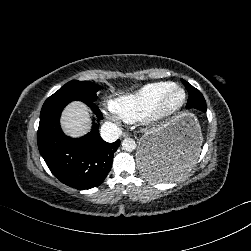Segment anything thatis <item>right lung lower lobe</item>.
I'll return each mask as SVG.
<instances>
[{"label": "right lung lower lobe", "instance_id": "1", "mask_svg": "<svg viewBox=\"0 0 251 251\" xmlns=\"http://www.w3.org/2000/svg\"><path fill=\"white\" fill-rule=\"evenodd\" d=\"M71 101H45L40 113L38 148L48 168L59 181L78 190H85L103 182L111 169L120 140L105 142L99 135L96 123L83 138L66 136L61 130L59 118L63 108ZM84 103L99 120L102 119V113L94 102Z\"/></svg>", "mask_w": 251, "mask_h": 251}]
</instances>
